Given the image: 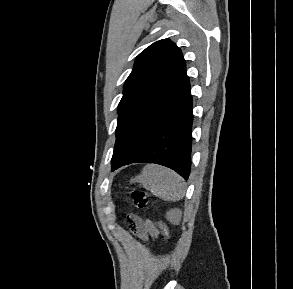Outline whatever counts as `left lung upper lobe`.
I'll return each instance as SVG.
<instances>
[{
	"label": "left lung upper lobe",
	"mask_w": 293,
	"mask_h": 289,
	"mask_svg": "<svg viewBox=\"0 0 293 289\" xmlns=\"http://www.w3.org/2000/svg\"><path fill=\"white\" fill-rule=\"evenodd\" d=\"M186 73L181 50L169 39L159 40L143 52L126 79L123 97L118 106L116 143L111 161L112 171L127 162V155L118 144L130 125L153 106Z\"/></svg>",
	"instance_id": "5c2ea615"
}]
</instances>
